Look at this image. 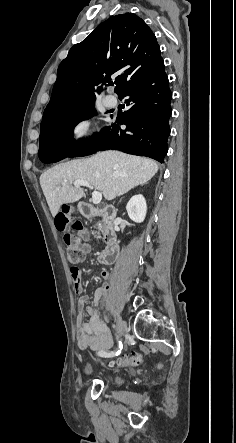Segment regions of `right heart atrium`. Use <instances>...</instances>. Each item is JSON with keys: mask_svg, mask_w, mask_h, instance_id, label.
Segmentation results:
<instances>
[{"mask_svg": "<svg viewBox=\"0 0 236 443\" xmlns=\"http://www.w3.org/2000/svg\"><path fill=\"white\" fill-rule=\"evenodd\" d=\"M68 141L75 146L89 145L95 139L92 120L88 116L75 119L67 130Z\"/></svg>", "mask_w": 236, "mask_h": 443, "instance_id": "right-heart-atrium-1", "label": "right heart atrium"}]
</instances>
